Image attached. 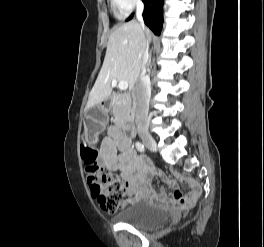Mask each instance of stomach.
<instances>
[{
	"label": "stomach",
	"instance_id": "0dacf381",
	"mask_svg": "<svg viewBox=\"0 0 264 247\" xmlns=\"http://www.w3.org/2000/svg\"><path fill=\"white\" fill-rule=\"evenodd\" d=\"M108 119V110L101 104L92 107L84 116L85 138H89L91 142L97 139L98 129L103 128Z\"/></svg>",
	"mask_w": 264,
	"mask_h": 247
}]
</instances>
